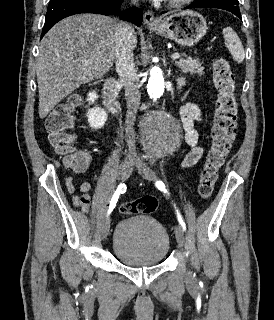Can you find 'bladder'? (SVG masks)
<instances>
[{
	"mask_svg": "<svg viewBox=\"0 0 274 320\" xmlns=\"http://www.w3.org/2000/svg\"><path fill=\"white\" fill-rule=\"evenodd\" d=\"M112 250L115 257L127 266H153L166 259L170 237L166 228L155 218L135 214L116 224Z\"/></svg>",
	"mask_w": 274,
	"mask_h": 320,
	"instance_id": "bladder-1",
	"label": "bladder"
}]
</instances>
